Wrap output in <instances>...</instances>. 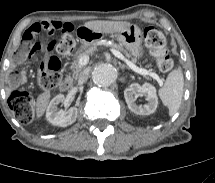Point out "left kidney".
I'll use <instances>...</instances> for the list:
<instances>
[{"instance_id":"left-kidney-1","label":"left kidney","mask_w":215,"mask_h":183,"mask_svg":"<svg viewBox=\"0 0 215 183\" xmlns=\"http://www.w3.org/2000/svg\"><path fill=\"white\" fill-rule=\"evenodd\" d=\"M136 93H141L148 103L143 106H138L135 103ZM124 98L128 108L138 115H150L155 112L158 105L156 89L149 83H144L142 86L138 83H132L124 90Z\"/></svg>"}]
</instances>
